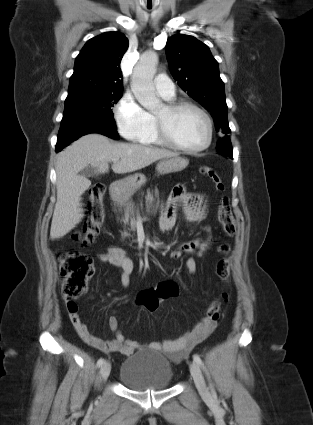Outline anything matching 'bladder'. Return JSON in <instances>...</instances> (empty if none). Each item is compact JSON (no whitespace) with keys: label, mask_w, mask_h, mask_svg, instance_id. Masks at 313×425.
I'll use <instances>...</instances> for the list:
<instances>
[{"label":"bladder","mask_w":313,"mask_h":425,"mask_svg":"<svg viewBox=\"0 0 313 425\" xmlns=\"http://www.w3.org/2000/svg\"><path fill=\"white\" fill-rule=\"evenodd\" d=\"M119 380L130 390H163L171 386L173 369L168 359L155 350H142L126 358Z\"/></svg>","instance_id":"1"}]
</instances>
